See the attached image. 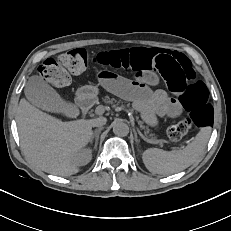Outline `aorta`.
I'll return each instance as SVG.
<instances>
[{
    "instance_id": "762f6f07",
    "label": "aorta",
    "mask_w": 231,
    "mask_h": 231,
    "mask_svg": "<svg viewBox=\"0 0 231 231\" xmlns=\"http://www.w3.org/2000/svg\"><path fill=\"white\" fill-rule=\"evenodd\" d=\"M113 133L118 136H127L129 133V127L122 121H115L113 123Z\"/></svg>"
}]
</instances>
